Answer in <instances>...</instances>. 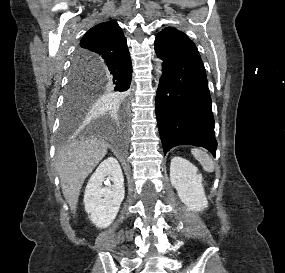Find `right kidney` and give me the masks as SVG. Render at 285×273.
<instances>
[{
  "instance_id": "ca27d5eb",
  "label": "right kidney",
  "mask_w": 285,
  "mask_h": 273,
  "mask_svg": "<svg viewBox=\"0 0 285 273\" xmlns=\"http://www.w3.org/2000/svg\"><path fill=\"white\" fill-rule=\"evenodd\" d=\"M124 196L121 167L115 158L109 157L98 166L85 189V210L92 223L98 228L108 227L115 219Z\"/></svg>"
}]
</instances>
